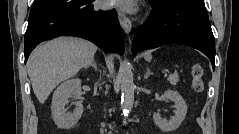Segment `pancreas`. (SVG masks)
Segmentation results:
<instances>
[{
	"mask_svg": "<svg viewBox=\"0 0 239 134\" xmlns=\"http://www.w3.org/2000/svg\"><path fill=\"white\" fill-rule=\"evenodd\" d=\"M167 80L170 84L176 86L179 83L180 78L178 74H173V75H170Z\"/></svg>",
	"mask_w": 239,
	"mask_h": 134,
	"instance_id": "1",
	"label": "pancreas"
}]
</instances>
